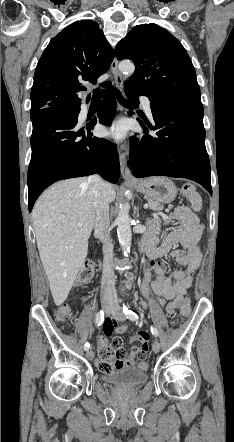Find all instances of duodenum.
<instances>
[{"label": "duodenum", "mask_w": 234, "mask_h": 442, "mask_svg": "<svg viewBox=\"0 0 234 442\" xmlns=\"http://www.w3.org/2000/svg\"><path fill=\"white\" fill-rule=\"evenodd\" d=\"M149 249V241L146 238H143L141 241V251L143 253H147Z\"/></svg>", "instance_id": "obj_1"}]
</instances>
